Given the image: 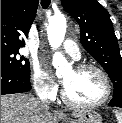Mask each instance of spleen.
Masks as SVG:
<instances>
[{"label":"spleen","mask_w":122,"mask_h":123,"mask_svg":"<svg viewBox=\"0 0 122 123\" xmlns=\"http://www.w3.org/2000/svg\"><path fill=\"white\" fill-rule=\"evenodd\" d=\"M114 114L117 119V123H122V111L114 110Z\"/></svg>","instance_id":"3e777b00"}]
</instances>
